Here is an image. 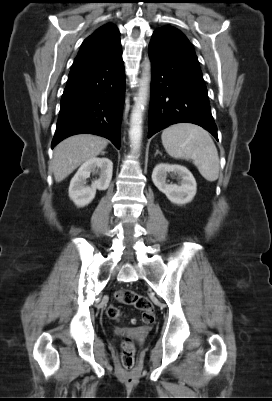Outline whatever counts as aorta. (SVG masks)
Instances as JSON below:
<instances>
[{
    "label": "aorta",
    "instance_id": "aorta-1",
    "mask_svg": "<svg viewBox=\"0 0 272 401\" xmlns=\"http://www.w3.org/2000/svg\"><path fill=\"white\" fill-rule=\"evenodd\" d=\"M150 62H146L144 66V73L141 79V85L138 92V98L132 110L130 117V141L135 150L140 148L142 137V121L143 112L147 102L148 84L150 79Z\"/></svg>",
    "mask_w": 272,
    "mask_h": 401
}]
</instances>
